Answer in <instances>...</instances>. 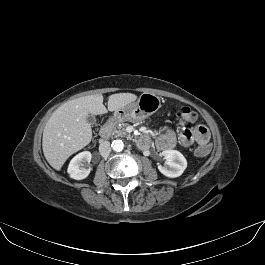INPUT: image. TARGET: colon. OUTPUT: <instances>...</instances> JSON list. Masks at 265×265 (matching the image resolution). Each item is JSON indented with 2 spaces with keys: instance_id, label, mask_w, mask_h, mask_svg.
Here are the masks:
<instances>
[{
  "instance_id": "1",
  "label": "colon",
  "mask_w": 265,
  "mask_h": 265,
  "mask_svg": "<svg viewBox=\"0 0 265 265\" xmlns=\"http://www.w3.org/2000/svg\"><path fill=\"white\" fill-rule=\"evenodd\" d=\"M179 117L182 122L184 123H192L196 120V113L190 109L189 107H181L178 110ZM209 152V146L208 145H200L196 149V155L197 156H204Z\"/></svg>"
}]
</instances>
